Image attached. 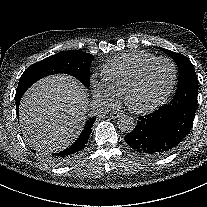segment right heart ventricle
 Segmentation results:
<instances>
[{
  "label": "right heart ventricle",
  "mask_w": 207,
  "mask_h": 207,
  "mask_svg": "<svg viewBox=\"0 0 207 207\" xmlns=\"http://www.w3.org/2000/svg\"><path fill=\"white\" fill-rule=\"evenodd\" d=\"M157 57L146 52L124 54L104 65L101 76L115 98L123 96L127 85L138 72Z\"/></svg>",
  "instance_id": "1"
}]
</instances>
